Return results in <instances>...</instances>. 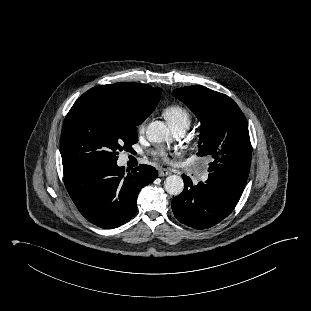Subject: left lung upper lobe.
I'll use <instances>...</instances> for the list:
<instances>
[{
  "instance_id": "1",
  "label": "left lung upper lobe",
  "mask_w": 311,
  "mask_h": 311,
  "mask_svg": "<svg viewBox=\"0 0 311 311\" xmlns=\"http://www.w3.org/2000/svg\"><path fill=\"white\" fill-rule=\"evenodd\" d=\"M173 94L201 121L197 155L211 159L208 171L247 179L251 143L246 118L238 105L227 95L197 85L176 89Z\"/></svg>"
}]
</instances>
